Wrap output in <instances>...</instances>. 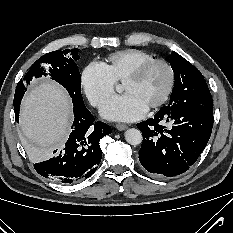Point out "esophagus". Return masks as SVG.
Returning a JSON list of instances; mask_svg holds the SVG:
<instances>
[{"label":"esophagus","instance_id":"esophagus-1","mask_svg":"<svg viewBox=\"0 0 233 233\" xmlns=\"http://www.w3.org/2000/svg\"><path fill=\"white\" fill-rule=\"evenodd\" d=\"M115 128L117 130H119V131H123V130L127 129V125H125V124H116Z\"/></svg>","mask_w":233,"mask_h":233}]
</instances>
